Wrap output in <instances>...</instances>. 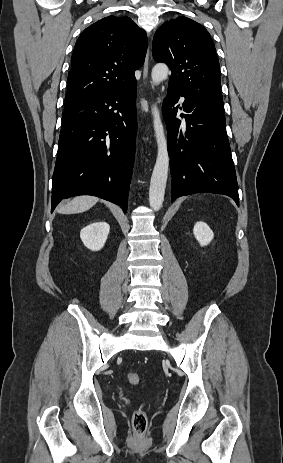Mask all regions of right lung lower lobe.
<instances>
[{"mask_svg":"<svg viewBox=\"0 0 283 463\" xmlns=\"http://www.w3.org/2000/svg\"><path fill=\"white\" fill-rule=\"evenodd\" d=\"M137 83L64 109L53 174L52 208L94 195L127 210L134 164Z\"/></svg>","mask_w":283,"mask_h":463,"instance_id":"98d812e1","label":"right lung lower lobe"}]
</instances>
